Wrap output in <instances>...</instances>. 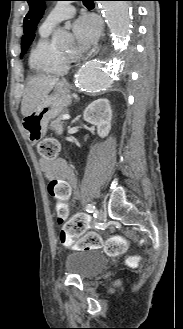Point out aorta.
I'll use <instances>...</instances> for the list:
<instances>
[{
  "mask_svg": "<svg viewBox=\"0 0 183 329\" xmlns=\"http://www.w3.org/2000/svg\"><path fill=\"white\" fill-rule=\"evenodd\" d=\"M102 11L108 22L113 38L117 43H124L131 31V4L129 1H102ZM55 40L64 45L67 35L58 29L54 33ZM118 62L107 60L106 63L90 62L85 64L76 76L78 87L85 92L107 90L112 84V74Z\"/></svg>",
  "mask_w": 183,
  "mask_h": 329,
  "instance_id": "aorta-1",
  "label": "aorta"
}]
</instances>
